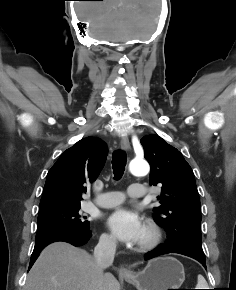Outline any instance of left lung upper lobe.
<instances>
[{
  "label": "left lung upper lobe",
  "instance_id": "5c2ea615",
  "mask_svg": "<svg viewBox=\"0 0 236 290\" xmlns=\"http://www.w3.org/2000/svg\"><path fill=\"white\" fill-rule=\"evenodd\" d=\"M145 159L151 165L150 185H161L154 219L167 231V245H188L203 252L200 199L195 177L182 154L157 135L141 139Z\"/></svg>",
  "mask_w": 236,
  "mask_h": 290
}]
</instances>
